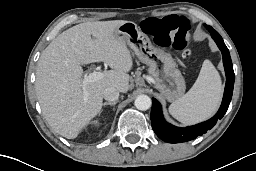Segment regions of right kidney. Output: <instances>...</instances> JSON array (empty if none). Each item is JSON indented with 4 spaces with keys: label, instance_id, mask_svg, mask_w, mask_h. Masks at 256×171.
Returning a JSON list of instances; mask_svg holds the SVG:
<instances>
[{
    "label": "right kidney",
    "instance_id": "1",
    "mask_svg": "<svg viewBox=\"0 0 256 171\" xmlns=\"http://www.w3.org/2000/svg\"><path fill=\"white\" fill-rule=\"evenodd\" d=\"M97 123H98V121H97V120H96V121H93V124H95V125H96Z\"/></svg>",
    "mask_w": 256,
    "mask_h": 171
}]
</instances>
